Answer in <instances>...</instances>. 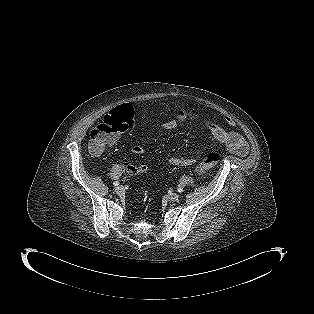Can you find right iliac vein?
Segmentation results:
<instances>
[{"label":"right iliac vein","mask_w":314,"mask_h":314,"mask_svg":"<svg viewBox=\"0 0 314 314\" xmlns=\"http://www.w3.org/2000/svg\"><path fill=\"white\" fill-rule=\"evenodd\" d=\"M115 191L117 194H122L124 192V188L123 186H118L116 187Z\"/></svg>","instance_id":"63e3f726"}]
</instances>
